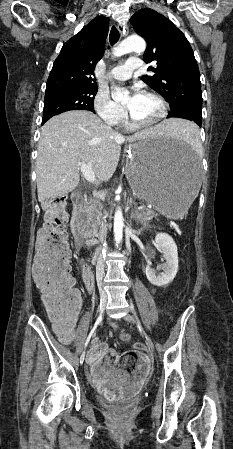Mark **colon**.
<instances>
[{"mask_svg": "<svg viewBox=\"0 0 233 449\" xmlns=\"http://www.w3.org/2000/svg\"><path fill=\"white\" fill-rule=\"evenodd\" d=\"M67 200L65 197L52 198L44 206L45 224L37 238L33 277L41 290L45 306L51 318L57 322H70L79 307L80 295L75 289L71 274V252L66 232ZM141 345L122 355V368H133L138 359Z\"/></svg>", "mask_w": 233, "mask_h": 449, "instance_id": "obj_1", "label": "colon"}]
</instances>
